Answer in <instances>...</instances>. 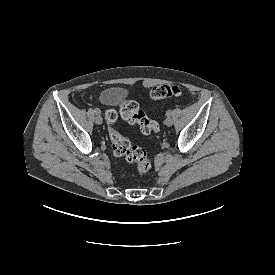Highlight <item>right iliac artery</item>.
I'll return each instance as SVG.
<instances>
[{
	"instance_id": "1",
	"label": "right iliac artery",
	"mask_w": 275,
	"mask_h": 275,
	"mask_svg": "<svg viewBox=\"0 0 275 275\" xmlns=\"http://www.w3.org/2000/svg\"><path fill=\"white\" fill-rule=\"evenodd\" d=\"M93 111H94L95 113L100 112V110H99L98 108H95Z\"/></svg>"
}]
</instances>
